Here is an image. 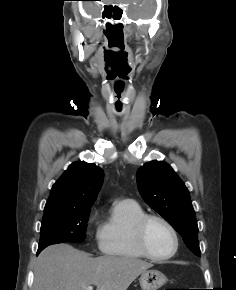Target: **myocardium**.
<instances>
[{"label": "myocardium", "mask_w": 236, "mask_h": 290, "mask_svg": "<svg viewBox=\"0 0 236 290\" xmlns=\"http://www.w3.org/2000/svg\"><path fill=\"white\" fill-rule=\"evenodd\" d=\"M151 221L161 222L171 232L173 240H174V247H173V250L168 255L157 256L149 250L148 245H147V240H146V230H147L148 224ZM134 234H135V240H136V243L140 252L148 259H151L154 261H166L174 257L179 249V236H178L177 230L166 218L160 215H157V214L143 215L136 222L134 226Z\"/></svg>", "instance_id": "f54148a6"}]
</instances>
